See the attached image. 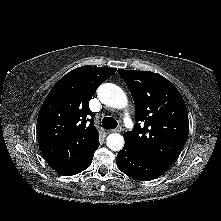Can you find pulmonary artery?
<instances>
[{
    "label": "pulmonary artery",
    "mask_w": 221,
    "mask_h": 221,
    "mask_svg": "<svg viewBox=\"0 0 221 221\" xmlns=\"http://www.w3.org/2000/svg\"><path fill=\"white\" fill-rule=\"evenodd\" d=\"M124 123L126 124V126L130 127L131 126V120L129 118L128 115L125 116L124 118Z\"/></svg>",
    "instance_id": "obj_1"
}]
</instances>
